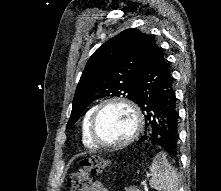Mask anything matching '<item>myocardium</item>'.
<instances>
[{
  "label": "myocardium",
  "instance_id": "myocardium-1",
  "mask_svg": "<svg viewBox=\"0 0 221 191\" xmlns=\"http://www.w3.org/2000/svg\"><path fill=\"white\" fill-rule=\"evenodd\" d=\"M113 104L122 105L126 107L128 110H130V112L133 114V117H134V128L131 134L123 141H120L117 143H107V142L102 141L97 135L96 124H97V119L102 109L105 108L106 106L113 105ZM143 127H144V118H143V115L139 106L128 98L120 97V96H113V97H109L101 101L94 108L93 113L90 118L89 133H90V137L92 141L95 144H97L99 147L109 148V149H119L134 142L139 137L140 133L143 130Z\"/></svg>",
  "mask_w": 221,
  "mask_h": 191
}]
</instances>
